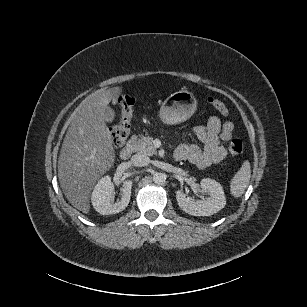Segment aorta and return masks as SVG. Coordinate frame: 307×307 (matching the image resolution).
I'll use <instances>...</instances> for the list:
<instances>
[{
    "label": "aorta",
    "instance_id": "aorta-1",
    "mask_svg": "<svg viewBox=\"0 0 307 307\" xmlns=\"http://www.w3.org/2000/svg\"><path fill=\"white\" fill-rule=\"evenodd\" d=\"M166 178V174L163 172H155L153 175V181L157 184L165 182Z\"/></svg>",
    "mask_w": 307,
    "mask_h": 307
}]
</instances>
